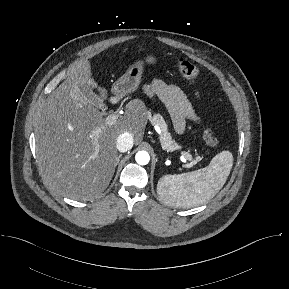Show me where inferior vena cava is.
Here are the masks:
<instances>
[{"label":"inferior vena cava","instance_id":"602c4592","mask_svg":"<svg viewBox=\"0 0 289 289\" xmlns=\"http://www.w3.org/2000/svg\"><path fill=\"white\" fill-rule=\"evenodd\" d=\"M133 136L129 132H124L118 136L116 147L120 152H127L133 147Z\"/></svg>","mask_w":289,"mask_h":289}]
</instances>
